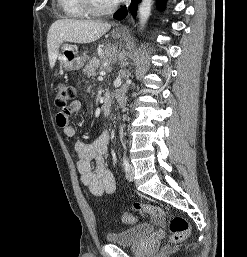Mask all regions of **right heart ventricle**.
<instances>
[{"label":"right heart ventricle","instance_id":"e07e8e85","mask_svg":"<svg viewBox=\"0 0 247 257\" xmlns=\"http://www.w3.org/2000/svg\"><path fill=\"white\" fill-rule=\"evenodd\" d=\"M58 4L66 18L79 19L88 14L83 9L80 0H57Z\"/></svg>","mask_w":247,"mask_h":257}]
</instances>
